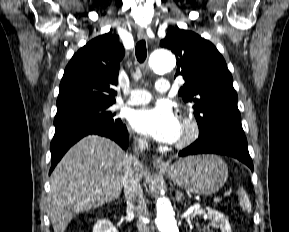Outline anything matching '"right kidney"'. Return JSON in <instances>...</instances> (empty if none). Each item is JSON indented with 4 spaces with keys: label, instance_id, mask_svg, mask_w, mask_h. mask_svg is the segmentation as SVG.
Instances as JSON below:
<instances>
[{
    "label": "right kidney",
    "instance_id": "obj_1",
    "mask_svg": "<svg viewBox=\"0 0 289 232\" xmlns=\"http://www.w3.org/2000/svg\"><path fill=\"white\" fill-rule=\"evenodd\" d=\"M93 232H118V230L108 219H102L95 223Z\"/></svg>",
    "mask_w": 289,
    "mask_h": 232
}]
</instances>
